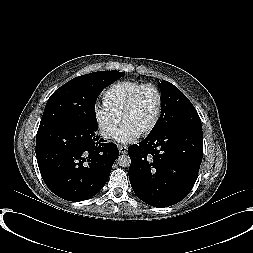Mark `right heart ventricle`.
Masks as SVG:
<instances>
[{
	"label": "right heart ventricle",
	"mask_w": 253,
	"mask_h": 253,
	"mask_svg": "<svg viewBox=\"0 0 253 253\" xmlns=\"http://www.w3.org/2000/svg\"><path fill=\"white\" fill-rule=\"evenodd\" d=\"M144 84L147 83L134 80L116 81L103 92L102 103L113 113L120 116L128 98L136 89Z\"/></svg>",
	"instance_id": "e07e8e85"
}]
</instances>
